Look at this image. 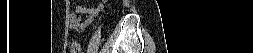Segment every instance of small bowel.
<instances>
[{
	"mask_svg": "<svg viewBox=\"0 0 253 53\" xmlns=\"http://www.w3.org/2000/svg\"><path fill=\"white\" fill-rule=\"evenodd\" d=\"M101 6L98 7H82L78 6L75 12L69 14V25L76 31L81 32L85 29L91 20L99 13Z\"/></svg>",
	"mask_w": 253,
	"mask_h": 53,
	"instance_id": "small-bowel-1",
	"label": "small bowel"
}]
</instances>
